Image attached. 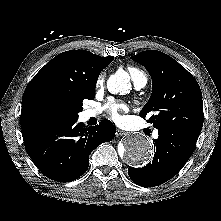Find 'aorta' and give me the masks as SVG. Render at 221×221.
I'll use <instances>...</instances> for the list:
<instances>
[{"label": "aorta", "mask_w": 221, "mask_h": 221, "mask_svg": "<svg viewBox=\"0 0 221 221\" xmlns=\"http://www.w3.org/2000/svg\"><path fill=\"white\" fill-rule=\"evenodd\" d=\"M129 81V74L118 70L107 81L108 91L112 94H127L130 92ZM119 154L128 164L142 166L152 158V145L142 134H131L122 141Z\"/></svg>", "instance_id": "aorta-1"}]
</instances>
